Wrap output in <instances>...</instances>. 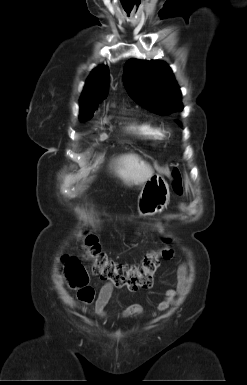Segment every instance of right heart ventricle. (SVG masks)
<instances>
[{"label":"right heart ventricle","mask_w":247,"mask_h":385,"mask_svg":"<svg viewBox=\"0 0 247 385\" xmlns=\"http://www.w3.org/2000/svg\"><path fill=\"white\" fill-rule=\"evenodd\" d=\"M127 129L130 132L152 142H159L163 138L162 130L149 122H134L131 123Z\"/></svg>","instance_id":"obj_1"}]
</instances>
